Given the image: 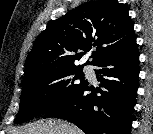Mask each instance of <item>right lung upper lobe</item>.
<instances>
[{"label":"right lung upper lobe","instance_id":"right-lung-upper-lobe-1","mask_svg":"<svg viewBox=\"0 0 153 134\" xmlns=\"http://www.w3.org/2000/svg\"><path fill=\"white\" fill-rule=\"evenodd\" d=\"M135 43L133 23L122 3L117 0L88 2L50 21L38 35L26 60L24 79L47 70L75 66L92 47H96V52L87 63L95 66Z\"/></svg>","mask_w":153,"mask_h":134}]
</instances>
